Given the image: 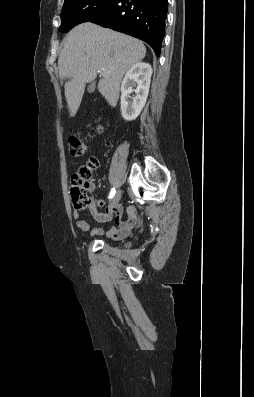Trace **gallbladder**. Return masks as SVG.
I'll use <instances>...</instances> for the list:
<instances>
[{
  "label": "gallbladder",
  "mask_w": 254,
  "mask_h": 397,
  "mask_svg": "<svg viewBox=\"0 0 254 397\" xmlns=\"http://www.w3.org/2000/svg\"><path fill=\"white\" fill-rule=\"evenodd\" d=\"M94 90H95V83H91V84L88 86V92H89V93H92Z\"/></svg>",
  "instance_id": "bac80fb5"
}]
</instances>
